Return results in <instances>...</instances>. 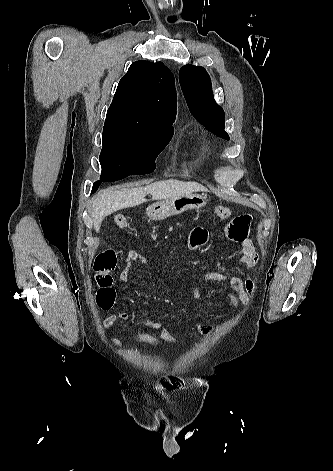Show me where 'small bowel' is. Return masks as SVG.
<instances>
[{
    "label": "small bowel",
    "mask_w": 333,
    "mask_h": 471,
    "mask_svg": "<svg viewBox=\"0 0 333 471\" xmlns=\"http://www.w3.org/2000/svg\"><path fill=\"white\" fill-rule=\"evenodd\" d=\"M251 223V216L249 214H242L231 219L225 228L227 237L240 244L241 257L239 260V266L243 270L254 267L258 262V254L255 250L252 240L249 238V226ZM208 241V231L203 227H197L193 229L190 235L189 244L192 248H197L204 245ZM146 258L136 250H130L125 258V268L119 273V279L121 282L126 283L134 263L146 264ZM201 279L204 281L216 282V283H227L229 286L228 291V305L235 307L239 304L248 306L250 304L251 297L255 292V283L251 276L248 274L245 279L238 276L229 275L220 271L205 272L201 275ZM129 318V314L126 312H120L118 314H110L103 321V328L109 329L119 321H126ZM142 322L154 329L159 330V336L165 342H177L178 338L168 328H164L160 323L151 320L145 314L142 315ZM195 329L202 335H209L214 331L211 325L204 323L195 324ZM111 343L120 348L122 342L117 338H111Z\"/></svg>",
    "instance_id": "c3829d8e"
}]
</instances>
